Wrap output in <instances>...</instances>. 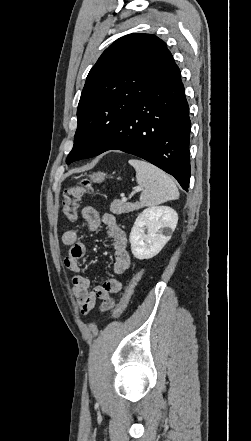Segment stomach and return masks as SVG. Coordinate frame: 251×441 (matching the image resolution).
Returning a JSON list of instances; mask_svg holds the SVG:
<instances>
[{
  "label": "stomach",
  "mask_w": 251,
  "mask_h": 441,
  "mask_svg": "<svg viewBox=\"0 0 251 441\" xmlns=\"http://www.w3.org/2000/svg\"><path fill=\"white\" fill-rule=\"evenodd\" d=\"M106 174L103 172H96L90 175V180L94 183H101L105 180Z\"/></svg>",
  "instance_id": "1"
}]
</instances>
